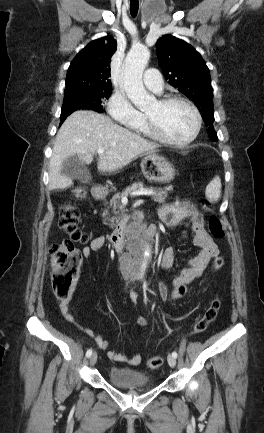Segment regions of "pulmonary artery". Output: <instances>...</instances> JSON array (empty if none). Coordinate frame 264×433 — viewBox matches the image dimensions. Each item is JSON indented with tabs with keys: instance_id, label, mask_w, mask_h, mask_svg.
I'll list each match as a JSON object with an SVG mask.
<instances>
[{
	"instance_id": "1",
	"label": "pulmonary artery",
	"mask_w": 264,
	"mask_h": 433,
	"mask_svg": "<svg viewBox=\"0 0 264 433\" xmlns=\"http://www.w3.org/2000/svg\"><path fill=\"white\" fill-rule=\"evenodd\" d=\"M145 86L154 93L160 94L163 90V80L157 69H148L144 75Z\"/></svg>"
}]
</instances>
